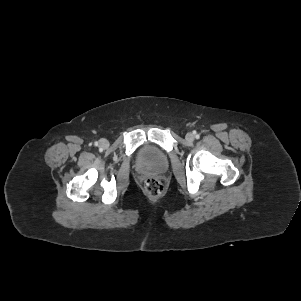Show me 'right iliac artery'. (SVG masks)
<instances>
[{"mask_svg": "<svg viewBox=\"0 0 301 301\" xmlns=\"http://www.w3.org/2000/svg\"><path fill=\"white\" fill-rule=\"evenodd\" d=\"M95 145L97 146V145H98V142H95Z\"/></svg>", "mask_w": 301, "mask_h": 301, "instance_id": "1", "label": "right iliac artery"}]
</instances>
